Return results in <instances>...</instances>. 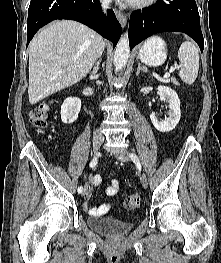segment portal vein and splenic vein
Returning a JSON list of instances; mask_svg holds the SVG:
<instances>
[{"mask_svg": "<svg viewBox=\"0 0 221 263\" xmlns=\"http://www.w3.org/2000/svg\"><path fill=\"white\" fill-rule=\"evenodd\" d=\"M179 68H180L179 65H174V66H172V67L170 68L169 72H167V73L164 74L163 78H168V77H170V73L173 72V71H175V70H177V69H179Z\"/></svg>", "mask_w": 221, "mask_h": 263, "instance_id": "portal-vein-and-splenic-vein-1", "label": "portal vein and splenic vein"}]
</instances>
